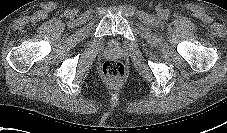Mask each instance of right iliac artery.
<instances>
[{"instance_id": "right-iliac-artery-1", "label": "right iliac artery", "mask_w": 227, "mask_h": 133, "mask_svg": "<svg viewBox=\"0 0 227 133\" xmlns=\"http://www.w3.org/2000/svg\"><path fill=\"white\" fill-rule=\"evenodd\" d=\"M69 13H70L69 10L65 11V15H69Z\"/></svg>"}]
</instances>
